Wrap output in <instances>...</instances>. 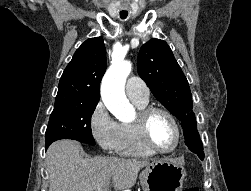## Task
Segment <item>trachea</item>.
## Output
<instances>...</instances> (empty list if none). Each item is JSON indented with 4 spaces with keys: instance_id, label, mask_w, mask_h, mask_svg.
<instances>
[{
    "instance_id": "obj_1",
    "label": "trachea",
    "mask_w": 251,
    "mask_h": 191,
    "mask_svg": "<svg viewBox=\"0 0 251 191\" xmlns=\"http://www.w3.org/2000/svg\"><path fill=\"white\" fill-rule=\"evenodd\" d=\"M121 16V18H126V15L124 16V15H120Z\"/></svg>"
}]
</instances>
